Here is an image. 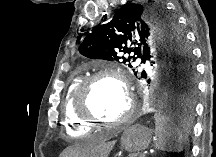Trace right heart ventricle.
Masks as SVG:
<instances>
[{
  "label": "right heart ventricle",
  "mask_w": 216,
  "mask_h": 157,
  "mask_svg": "<svg viewBox=\"0 0 216 157\" xmlns=\"http://www.w3.org/2000/svg\"><path fill=\"white\" fill-rule=\"evenodd\" d=\"M81 81V76L73 77L70 80L61 103L64 129L68 135L73 137H81L92 132V126L79 118L74 109L75 93Z\"/></svg>",
  "instance_id": "obj_1"
}]
</instances>
